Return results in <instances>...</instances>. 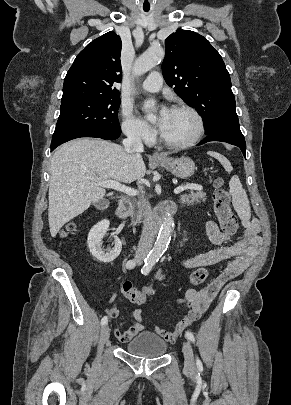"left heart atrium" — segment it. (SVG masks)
<instances>
[{
  "label": "left heart atrium",
  "instance_id": "39dd6f15",
  "mask_svg": "<svg viewBox=\"0 0 291 405\" xmlns=\"http://www.w3.org/2000/svg\"><path fill=\"white\" fill-rule=\"evenodd\" d=\"M152 106H153V104L149 102V103H147V104L145 105V109H149V108H151ZM169 111H170V110L167 109L166 107H162V108L160 109L159 116H158V120H157V126H158V128H159L160 130L163 128V126H164V124H165V122H166V120H167Z\"/></svg>",
  "mask_w": 291,
  "mask_h": 405
}]
</instances>
